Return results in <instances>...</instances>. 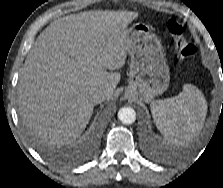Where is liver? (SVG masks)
<instances>
[{"instance_id":"6515ba94","label":"liver","mask_w":223,"mask_h":188,"mask_svg":"<svg viewBox=\"0 0 223 188\" xmlns=\"http://www.w3.org/2000/svg\"><path fill=\"white\" fill-rule=\"evenodd\" d=\"M137 17L132 11H86L40 33L18 81V109L34 137L63 146L80 136L93 114L91 92L113 96L126 60L127 26Z\"/></svg>"}]
</instances>
